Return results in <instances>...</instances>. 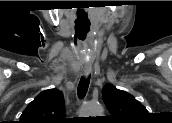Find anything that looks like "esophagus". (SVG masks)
I'll list each match as a JSON object with an SVG mask.
<instances>
[{
    "instance_id": "esophagus-1",
    "label": "esophagus",
    "mask_w": 172,
    "mask_h": 123,
    "mask_svg": "<svg viewBox=\"0 0 172 123\" xmlns=\"http://www.w3.org/2000/svg\"><path fill=\"white\" fill-rule=\"evenodd\" d=\"M91 71H92V68H91L90 65H89V66H85V67L83 68L84 76H85V77H88L89 74L91 73Z\"/></svg>"
}]
</instances>
